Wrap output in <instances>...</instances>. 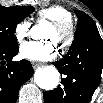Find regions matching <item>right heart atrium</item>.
<instances>
[{
  "mask_svg": "<svg viewBox=\"0 0 103 103\" xmlns=\"http://www.w3.org/2000/svg\"><path fill=\"white\" fill-rule=\"evenodd\" d=\"M31 24L27 20H22L15 26L14 36L18 43L23 42L29 35Z\"/></svg>",
  "mask_w": 103,
  "mask_h": 103,
  "instance_id": "right-heart-atrium-1",
  "label": "right heart atrium"
}]
</instances>
